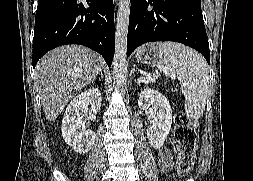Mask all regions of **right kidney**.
<instances>
[{
    "label": "right kidney",
    "mask_w": 253,
    "mask_h": 181,
    "mask_svg": "<svg viewBox=\"0 0 253 181\" xmlns=\"http://www.w3.org/2000/svg\"><path fill=\"white\" fill-rule=\"evenodd\" d=\"M101 92L98 88H90L74 97L68 104L62 120V136L65 142L77 153L86 154L94 145L96 134L86 126L83 120L88 106L93 114L101 107Z\"/></svg>",
    "instance_id": "obj_1"
}]
</instances>
